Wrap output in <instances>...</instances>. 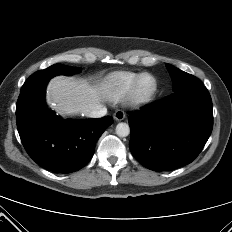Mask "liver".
<instances>
[{
  "label": "liver",
  "mask_w": 232,
  "mask_h": 232,
  "mask_svg": "<svg viewBox=\"0 0 232 232\" xmlns=\"http://www.w3.org/2000/svg\"><path fill=\"white\" fill-rule=\"evenodd\" d=\"M105 91V86L91 85L84 79L56 76L48 85L47 97L61 116H71L100 105Z\"/></svg>",
  "instance_id": "6515ba94"
}]
</instances>
